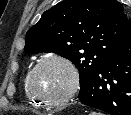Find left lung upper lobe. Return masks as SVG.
<instances>
[{
    "mask_svg": "<svg viewBox=\"0 0 131 115\" xmlns=\"http://www.w3.org/2000/svg\"><path fill=\"white\" fill-rule=\"evenodd\" d=\"M130 33V22L116 0H63L28 30L24 50L54 52L72 61L82 92Z\"/></svg>",
    "mask_w": 131,
    "mask_h": 115,
    "instance_id": "obj_1",
    "label": "left lung upper lobe"
}]
</instances>
